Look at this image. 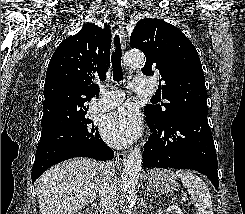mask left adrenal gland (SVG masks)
<instances>
[{"instance_id": "a2214340", "label": "left adrenal gland", "mask_w": 245, "mask_h": 214, "mask_svg": "<svg viewBox=\"0 0 245 214\" xmlns=\"http://www.w3.org/2000/svg\"><path fill=\"white\" fill-rule=\"evenodd\" d=\"M149 193H153L154 197H156V198L158 197L157 194L150 189L149 185H147L146 186V195H148Z\"/></svg>"}]
</instances>
